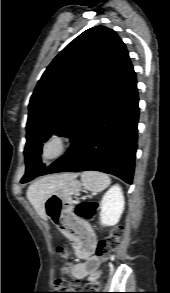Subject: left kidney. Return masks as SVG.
<instances>
[{
  "label": "left kidney",
  "mask_w": 170,
  "mask_h": 293,
  "mask_svg": "<svg viewBox=\"0 0 170 293\" xmlns=\"http://www.w3.org/2000/svg\"><path fill=\"white\" fill-rule=\"evenodd\" d=\"M125 200L119 185L112 186L103 196L100 204V222L104 226L117 224L124 211Z\"/></svg>",
  "instance_id": "left-kidney-1"
}]
</instances>
